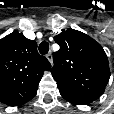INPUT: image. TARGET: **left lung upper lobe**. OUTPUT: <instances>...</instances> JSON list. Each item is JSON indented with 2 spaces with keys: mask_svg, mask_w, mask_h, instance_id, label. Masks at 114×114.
I'll return each instance as SVG.
<instances>
[{
  "mask_svg": "<svg viewBox=\"0 0 114 114\" xmlns=\"http://www.w3.org/2000/svg\"><path fill=\"white\" fill-rule=\"evenodd\" d=\"M54 39L60 49L53 54L51 73L59 91L98 99L110 77L108 59L102 46L74 29L63 31Z\"/></svg>",
  "mask_w": 114,
  "mask_h": 114,
  "instance_id": "5c2ea615",
  "label": "left lung upper lobe"
}]
</instances>
